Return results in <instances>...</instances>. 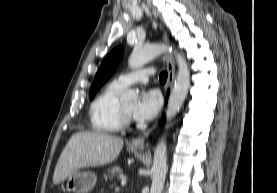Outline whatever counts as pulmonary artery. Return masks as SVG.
<instances>
[{"mask_svg": "<svg viewBox=\"0 0 277 193\" xmlns=\"http://www.w3.org/2000/svg\"><path fill=\"white\" fill-rule=\"evenodd\" d=\"M154 74V69H140L130 73L121 74L113 80V83L121 88H125L135 83H147L149 77Z\"/></svg>", "mask_w": 277, "mask_h": 193, "instance_id": "e3ab8cb5", "label": "pulmonary artery"}]
</instances>
